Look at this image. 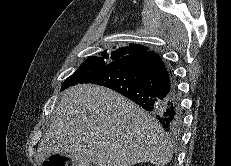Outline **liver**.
I'll return each instance as SVG.
<instances>
[{
  "label": "liver",
  "instance_id": "obj_1",
  "mask_svg": "<svg viewBox=\"0 0 231 166\" xmlns=\"http://www.w3.org/2000/svg\"><path fill=\"white\" fill-rule=\"evenodd\" d=\"M59 153L81 166L167 165L173 146L160 123L132 101L106 87L67 89L38 147L44 161Z\"/></svg>",
  "mask_w": 231,
  "mask_h": 166
}]
</instances>
